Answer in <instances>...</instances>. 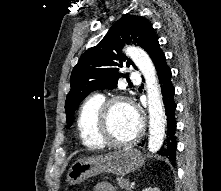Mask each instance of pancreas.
<instances>
[{
	"mask_svg": "<svg viewBox=\"0 0 221 191\" xmlns=\"http://www.w3.org/2000/svg\"><path fill=\"white\" fill-rule=\"evenodd\" d=\"M118 185L125 190L131 191L130 181L123 177H118L117 179Z\"/></svg>",
	"mask_w": 221,
	"mask_h": 191,
	"instance_id": "1",
	"label": "pancreas"
}]
</instances>
